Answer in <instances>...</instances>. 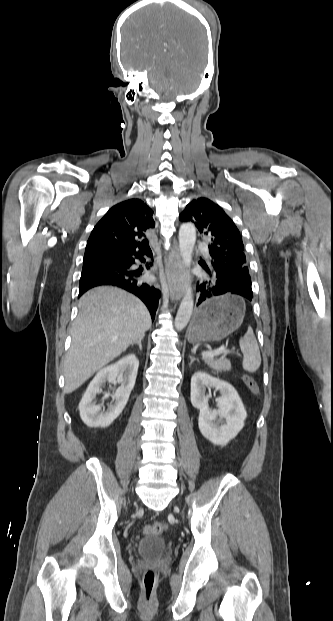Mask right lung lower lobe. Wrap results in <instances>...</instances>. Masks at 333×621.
<instances>
[{
  "label": "right lung lower lobe",
  "instance_id": "98d812e1",
  "mask_svg": "<svg viewBox=\"0 0 333 621\" xmlns=\"http://www.w3.org/2000/svg\"><path fill=\"white\" fill-rule=\"evenodd\" d=\"M144 255L151 256L152 252L133 255H120L84 260L80 278L79 296L90 288L100 285H114L121 287L138 296L148 307L152 320L158 307L160 291L153 285L141 280L142 268L132 270L135 259L145 261ZM147 264L146 267L149 268Z\"/></svg>",
  "mask_w": 333,
  "mask_h": 621
}]
</instances>
